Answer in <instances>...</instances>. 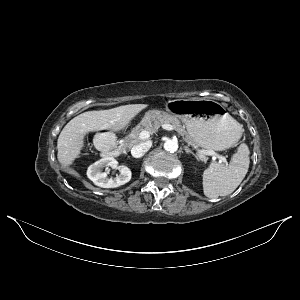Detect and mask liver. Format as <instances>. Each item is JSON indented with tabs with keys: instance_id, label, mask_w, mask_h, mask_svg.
<instances>
[{
	"instance_id": "6515ba94",
	"label": "liver",
	"mask_w": 300,
	"mask_h": 300,
	"mask_svg": "<svg viewBox=\"0 0 300 300\" xmlns=\"http://www.w3.org/2000/svg\"><path fill=\"white\" fill-rule=\"evenodd\" d=\"M144 108V104L125 105L108 110L84 112L70 120L57 141V158L62 168H68L79 157L87 133L101 130L119 131Z\"/></svg>"
}]
</instances>
